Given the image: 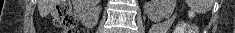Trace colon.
Masks as SVG:
<instances>
[{
  "instance_id": "5ec220e1",
  "label": "colon",
  "mask_w": 235,
  "mask_h": 33,
  "mask_svg": "<svg viewBox=\"0 0 235 33\" xmlns=\"http://www.w3.org/2000/svg\"><path fill=\"white\" fill-rule=\"evenodd\" d=\"M52 16L55 25L61 28L63 33H76L77 19L68 1H60L54 8ZM196 31L197 28L194 25L183 22L177 27L176 33H196Z\"/></svg>"
}]
</instances>
